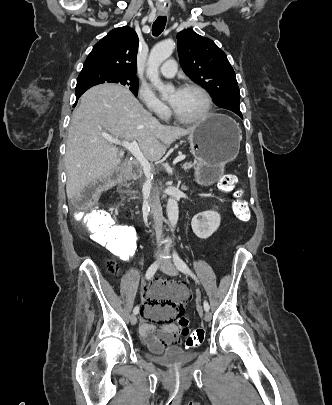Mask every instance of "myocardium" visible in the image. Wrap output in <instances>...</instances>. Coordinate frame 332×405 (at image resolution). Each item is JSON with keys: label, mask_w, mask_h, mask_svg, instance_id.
Masks as SVG:
<instances>
[{"label": "myocardium", "mask_w": 332, "mask_h": 405, "mask_svg": "<svg viewBox=\"0 0 332 405\" xmlns=\"http://www.w3.org/2000/svg\"><path fill=\"white\" fill-rule=\"evenodd\" d=\"M189 89L198 91L204 97L206 105H205L203 112L200 115H198L197 117H194L191 119L181 117L172 106L170 107V112H171L172 117L180 123H183V124L200 123V122L204 121L211 113L212 106H213L212 97L204 87H202L201 85H199L197 83H185L180 88V90H189Z\"/></svg>", "instance_id": "obj_1"}]
</instances>
